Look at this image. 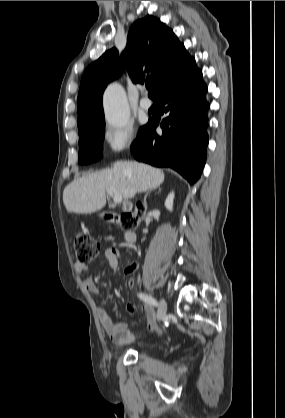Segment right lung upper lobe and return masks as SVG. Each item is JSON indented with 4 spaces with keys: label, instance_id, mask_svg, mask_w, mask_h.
Here are the masks:
<instances>
[{
    "label": "right lung upper lobe",
    "instance_id": "1",
    "mask_svg": "<svg viewBox=\"0 0 285 418\" xmlns=\"http://www.w3.org/2000/svg\"><path fill=\"white\" fill-rule=\"evenodd\" d=\"M123 62L134 83L152 82L149 96L153 100L198 69L173 31L156 17L146 16L130 27L121 61L112 48L84 72L78 93V125L104 115L103 92L119 77Z\"/></svg>",
    "mask_w": 285,
    "mask_h": 418
}]
</instances>
